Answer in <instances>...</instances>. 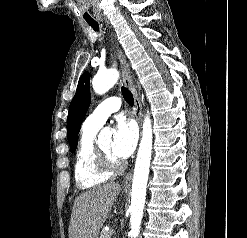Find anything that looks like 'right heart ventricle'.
I'll use <instances>...</instances> for the list:
<instances>
[{
    "label": "right heart ventricle",
    "mask_w": 247,
    "mask_h": 238,
    "mask_svg": "<svg viewBox=\"0 0 247 238\" xmlns=\"http://www.w3.org/2000/svg\"><path fill=\"white\" fill-rule=\"evenodd\" d=\"M98 129L85 125L82 127L81 137L74 161V178L81 189H89L106 182L110 174L104 173L96 165L95 136Z\"/></svg>",
    "instance_id": "obj_1"
}]
</instances>
